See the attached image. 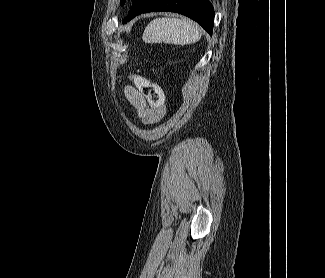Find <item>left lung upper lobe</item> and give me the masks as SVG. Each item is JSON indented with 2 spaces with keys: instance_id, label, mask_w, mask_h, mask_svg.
I'll use <instances>...</instances> for the list:
<instances>
[{
  "instance_id": "5c2ea615",
  "label": "left lung upper lobe",
  "mask_w": 325,
  "mask_h": 278,
  "mask_svg": "<svg viewBox=\"0 0 325 278\" xmlns=\"http://www.w3.org/2000/svg\"><path fill=\"white\" fill-rule=\"evenodd\" d=\"M124 3H125V0H121L120 4L124 5Z\"/></svg>"
}]
</instances>
